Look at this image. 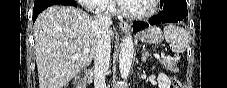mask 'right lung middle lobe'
Masks as SVG:
<instances>
[{
	"instance_id": "right-lung-middle-lobe-1",
	"label": "right lung middle lobe",
	"mask_w": 227,
	"mask_h": 88,
	"mask_svg": "<svg viewBox=\"0 0 227 88\" xmlns=\"http://www.w3.org/2000/svg\"><path fill=\"white\" fill-rule=\"evenodd\" d=\"M39 1H41V0H35V3H36V2H39ZM62 3H63V4L73 5V6L76 5V3H75L74 0H62Z\"/></svg>"
}]
</instances>
